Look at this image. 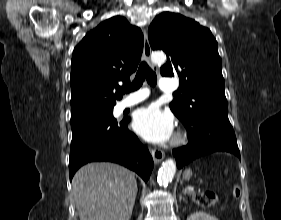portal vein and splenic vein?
<instances>
[{
	"label": "portal vein and splenic vein",
	"instance_id": "1",
	"mask_svg": "<svg viewBox=\"0 0 281 220\" xmlns=\"http://www.w3.org/2000/svg\"><path fill=\"white\" fill-rule=\"evenodd\" d=\"M188 191H193L194 189H193V187H190V188H188L187 189ZM186 191V190H185Z\"/></svg>",
	"mask_w": 281,
	"mask_h": 220
}]
</instances>
